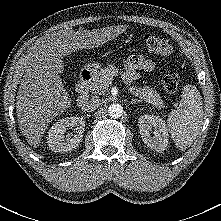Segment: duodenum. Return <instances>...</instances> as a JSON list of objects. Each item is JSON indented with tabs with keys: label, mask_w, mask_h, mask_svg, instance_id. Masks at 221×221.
Returning <instances> with one entry per match:
<instances>
[{
	"label": "duodenum",
	"mask_w": 221,
	"mask_h": 221,
	"mask_svg": "<svg viewBox=\"0 0 221 221\" xmlns=\"http://www.w3.org/2000/svg\"><path fill=\"white\" fill-rule=\"evenodd\" d=\"M91 78H92L91 72L87 69L82 70L79 74L76 83V90H77L76 105L78 108H82L89 99L88 86Z\"/></svg>",
	"instance_id": "410a0bca"
}]
</instances>
